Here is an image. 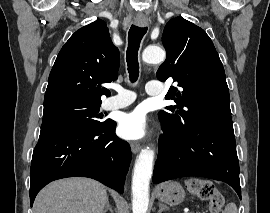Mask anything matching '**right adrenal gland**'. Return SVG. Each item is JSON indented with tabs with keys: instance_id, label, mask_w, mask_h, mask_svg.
<instances>
[{
	"instance_id": "right-adrenal-gland-1",
	"label": "right adrenal gland",
	"mask_w": 270,
	"mask_h": 213,
	"mask_svg": "<svg viewBox=\"0 0 270 213\" xmlns=\"http://www.w3.org/2000/svg\"><path fill=\"white\" fill-rule=\"evenodd\" d=\"M107 211H110L111 213H113V209H112V207H111V205L109 203V200H107V202H106V206H105V208L103 210V213H106Z\"/></svg>"
}]
</instances>
